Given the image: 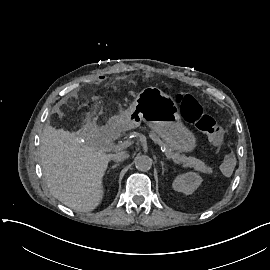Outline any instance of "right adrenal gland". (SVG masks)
<instances>
[{"instance_id": "right-adrenal-gland-1", "label": "right adrenal gland", "mask_w": 270, "mask_h": 270, "mask_svg": "<svg viewBox=\"0 0 270 270\" xmlns=\"http://www.w3.org/2000/svg\"><path fill=\"white\" fill-rule=\"evenodd\" d=\"M118 166V164H115L112 166V171H114V169Z\"/></svg>"}]
</instances>
